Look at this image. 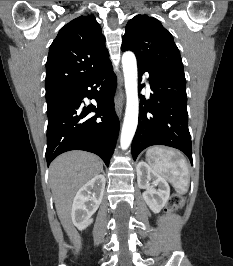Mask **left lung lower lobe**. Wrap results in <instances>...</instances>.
I'll use <instances>...</instances> for the list:
<instances>
[{
    "label": "left lung lower lobe",
    "mask_w": 233,
    "mask_h": 266,
    "mask_svg": "<svg viewBox=\"0 0 233 266\" xmlns=\"http://www.w3.org/2000/svg\"><path fill=\"white\" fill-rule=\"evenodd\" d=\"M139 75L149 73L150 99L141 96L138 127L132 142V156L152 145L177 148L192 161L188 129L186 79L177 70L154 71L138 65Z\"/></svg>",
    "instance_id": "obj_1"
}]
</instances>
